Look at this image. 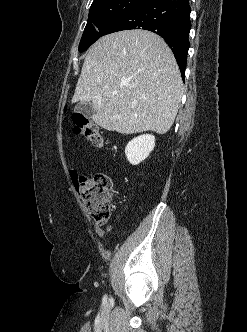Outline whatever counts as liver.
<instances>
[{
	"label": "liver",
	"mask_w": 247,
	"mask_h": 332,
	"mask_svg": "<svg viewBox=\"0 0 247 332\" xmlns=\"http://www.w3.org/2000/svg\"><path fill=\"white\" fill-rule=\"evenodd\" d=\"M182 95L171 49L155 33L136 29L105 35L91 46L72 102L91 104L93 121L108 131L165 134Z\"/></svg>",
	"instance_id": "6515ba94"
}]
</instances>
